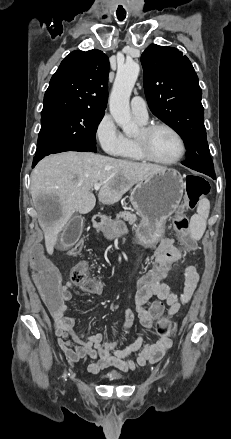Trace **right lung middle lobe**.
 I'll return each mask as SVG.
<instances>
[{"label":"right lung middle lobe","mask_w":231,"mask_h":439,"mask_svg":"<svg viewBox=\"0 0 231 439\" xmlns=\"http://www.w3.org/2000/svg\"><path fill=\"white\" fill-rule=\"evenodd\" d=\"M103 116L104 112L74 110L42 117L35 155L97 152L96 131Z\"/></svg>","instance_id":"obj_1"}]
</instances>
